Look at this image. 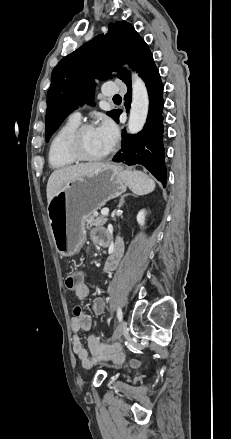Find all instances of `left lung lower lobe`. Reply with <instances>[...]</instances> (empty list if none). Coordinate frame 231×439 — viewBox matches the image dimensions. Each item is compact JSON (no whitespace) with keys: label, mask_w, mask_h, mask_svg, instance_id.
Segmentation results:
<instances>
[{"label":"left lung lower lobe","mask_w":231,"mask_h":439,"mask_svg":"<svg viewBox=\"0 0 231 439\" xmlns=\"http://www.w3.org/2000/svg\"><path fill=\"white\" fill-rule=\"evenodd\" d=\"M134 69L144 80L149 95V112L144 128L136 135H127L122 131L121 149L113 157L114 162L127 165L141 164L147 168L166 187V166L163 146V84L155 66L149 48L141 54ZM124 83L127 85L125 106L129 110L132 99L131 77ZM121 110L115 120L119 121Z\"/></svg>","instance_id":"0a47b994"}]
</instances>
